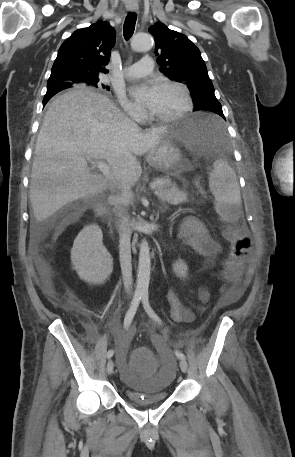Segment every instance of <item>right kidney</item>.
Wrapping results in <instances>:
<instances>
[{
  "label": "right kidney",
  "mask_w": 295,
  "mask_h": 457,
  "mask_svg": "<svg viewBox=\"0 0 295 457\" xmlns=\"http://www.w3.org/2000/svg\"><path fill=\"white\" fill-rule=\"evenodd\" d=\"M71 261L78 276L89 284L100 285L110 276L112 257L103 245L98 225H87L78 234L71 249Z\"/></svg>",
  "instance_id": "1"
}]
</instances>
